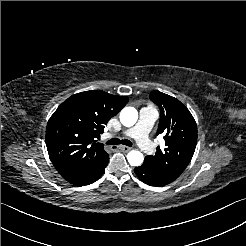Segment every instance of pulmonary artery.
I'll return each mask as SVG.
<instances>
[{
  "label": "pulmonary artery",
  "mask_w": 246,
  "mask_h": 246,
  "mask_svg": "<svg viewBox=\"0 0 246 246\" xmlns=\"http://www.w3.org/2000/svg\"><path fill=\"white\" fill-rule=\"evenodd\" d=\"M141 115L145 120H142L138 125L128 130L129 134L134 136L137 140H139L149 130L156 119L155 112L149 110V108L142 109Z\"/></svg>",
  "instance_id": "obj_1"
}]
</instances>
